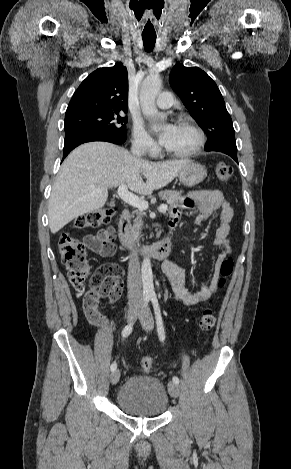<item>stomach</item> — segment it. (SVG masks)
I'll return each instance as SVG.
<instances>
[{
	"mask_svg": "<svg viewBox=\"0 0 291 469\" xmlns=\"http://www.w3.org/2000/svg\"><path fill=\"white\" fill-rule=\"evenodd\" d=\"M207 175V170L201 164L190 162L178 173L180 182L188 187L195 186L202 182Z\"/></svg>",
	"mask_w": 291,
	"mask_h": 469,
	"instance_id": "stomach-1",
	"label": "stomach"
}]
</instances>
